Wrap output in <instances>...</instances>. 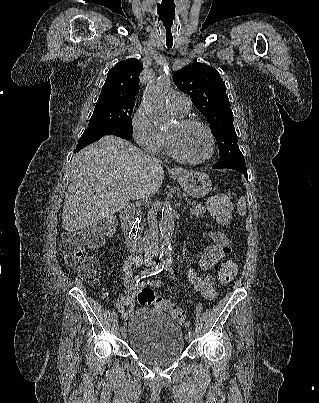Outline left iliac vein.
Segmentation results:
<instances>
[{
  "mask_svg": "<svg viewBox=\"0 0 319 403\" xmlns=\"http://www.w3.org/2000/svg\"><path fill=\"white\" fill-rule=\"evenodd\" d=\"M193 338H194L193 335H189V334H188V335L186 336V341H187V342H191V341L193 340Z\"/></svg>",
  "mask_w": 319,
  "mask_h": 403,
  "instance_id": "obj_1",
  "label": "left iliac vein"
}]
</instances>
